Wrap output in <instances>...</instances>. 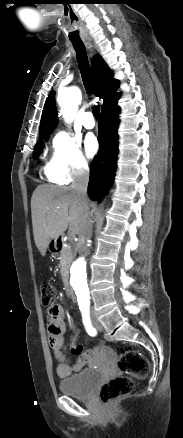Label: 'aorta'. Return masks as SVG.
Here are the masks:
<instances>
[{
	"instance_id": "762f6f07",
	"label": "aorta",
	"mask_w": 183,
	"mask_h": 438,
	"mask_svg": "<svg viewBox=\"0 0 183 438\" xmlns=\"http://www.w3.org/2000/svg\"><path fill=\"white\" fill-rule=\"evenodd\" d=\"M80 100L81 92L77 87H68L59 90L58 102L66 122H71L74 119ZM69 283L75 293L78 305H88L90 303V287L87 277V261L85 258L80 257L73 263Z\"/></svg>"
}]
</instances>
